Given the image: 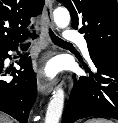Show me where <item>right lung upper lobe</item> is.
I'll return each mask as SVG.
<instances>
[{"mask_svg": "<svg viewBox=\"0 0 118 123\" xmlns=\"http://www.w3.org/2000/svg\"><path fill=\"white\" fill-rule=\"evenodd\" d=\"M44 0H0V49L24 40L30 18L42 12Z\"/></svg>", "mask_w": 118, "mask_h": 123, "instance_id": "cb5924a9", "label": "right lung upper lobe"}]
</instances>
